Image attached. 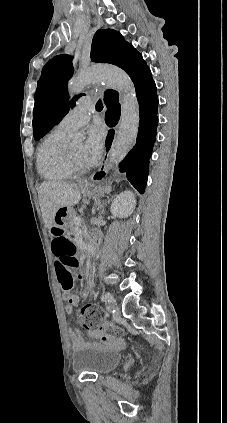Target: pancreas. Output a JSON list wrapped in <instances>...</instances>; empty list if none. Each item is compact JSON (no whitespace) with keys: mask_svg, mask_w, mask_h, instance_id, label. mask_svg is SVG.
Here are the masks:
<instances>
[{"mask_svg":"<svg viewBox=\"0 0 227 423\" xmlns=\"http://www.w3.org/2000/svg\"><path fill=\"white\" fill-rule=\"evenodd\" d=\"M74 217H78L76 211H74V215L70 221V233H72V235H74V233H78V231H80V225L79 223H76V221H74Z\"/></svg>","mask_w":227,"mask_h":423,"instance_id":"pancreas-1","label":"pancreas"}]
</instances>
